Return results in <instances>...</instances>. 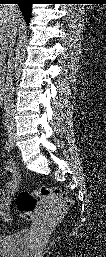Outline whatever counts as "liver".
Here are the masks:
<instances>
[{
	"instance_id": "obj_1",
	"label": "liver",
	"mask_w": 106,
	"mask_h": 257,
	"mask_svg": "<svg viewBox=\"0 0 106 257\" xmlns=\"http://www.w3.org/2000/svg\"><path fill=\"white\" fill-rule=\"evenodd\" d=\"M21 22V13L14 5H2L0 8V38L5 41L13 27Z\"/></svg>"
}]
</instances>
